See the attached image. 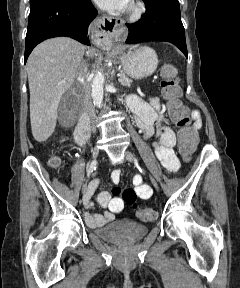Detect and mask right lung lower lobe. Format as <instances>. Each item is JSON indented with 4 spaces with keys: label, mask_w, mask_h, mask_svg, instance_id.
<instances>
[{
    "label": "right lung lower lobe",
    "mask_w": 240,
    "mask_h": 288,
    "mask_svg": "<svg viewBox=\"0 0 240 288\" xmlns=\"http://www.w3.org/2000/svg\"><path fill=\"white\" fill-rule=\"evenodd\" d=\"M97 15L90 0H50L30 11L25 62L33 48L45 39L67 36L90 45L88 26Z\"/></svg>",
    "instance_id": "obj_1"
}]
</instances>
